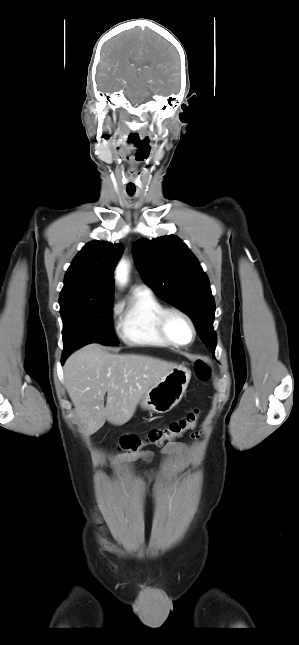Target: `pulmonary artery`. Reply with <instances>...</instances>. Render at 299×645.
Instances as JSON below:
<instances>
[{"mask_svg": "<svg viewBox=\"0 0 299 645\" xmlns=\"http://www.w3.org/2000/svg\"><path fill=\"white\" fill-rule=\"evenodd\" d=\"M136 289L144 290V291H150L149 287H147L146 285H140V286H138ZM136 289H135V290H136Z\"/></svg>", "mask_w": 299, "mask_h": 645, "instance_id": "e3ab8cb5", "label": "pulmonary artery"}]
</instances>
